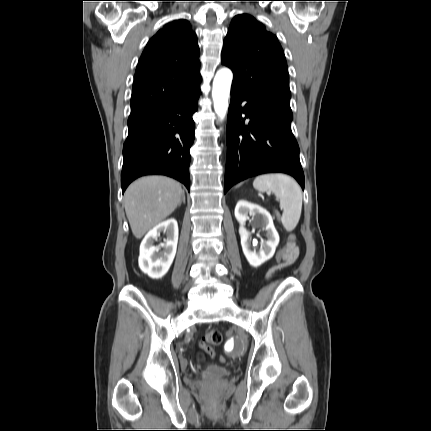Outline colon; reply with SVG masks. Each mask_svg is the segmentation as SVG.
Segmentation results:
<instances>
[{"mask_svg": "<svg viewBox=\"0 0 431 431\" xmlns=\"http://www.w3.org/2000/svg\"><path fill=\"white\" fill-rule=\"evenodd\" d=\"M290 240L296 241V236L293 234L289 235L286 244H288ZM283 253H286V252L283 249L282 250L278 249L276 251V254L273 255V260L278 262L283 257ZM221 342H222V333L218 329H211L205 334L204 341L200 343V348L205 354L210 355L211 359H214L215 349L212 346L220 345ZM223 357L224 356L221 354L220 363H225V358Z\"/></svg>", "mask_w": 431, "mask_h": 431, "instance_id": "obj_1", "label": "colon"}]
</instances>
